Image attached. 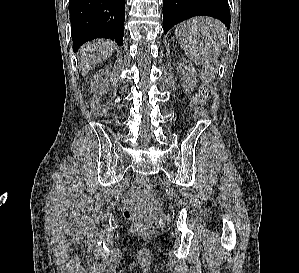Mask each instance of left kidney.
<instances>
[{
    "label": "left kidney",
    "mask_w": 299,
    "mask_h": 273,
    "mask_svg": "<svg viewBox=\"0 0 299 273\" xmlns=\"http://www.w3.org/2000/svg\"><path fill=\"white\" fill-rule=\"evenodd\" d=\"M178 68L182 72V86L186 91H191L196 85L195 81V69L193 65L186 59H181L178 63Z\"/></svg>",
    "instance_id": "left-kidney-1"
}]
</instances>
